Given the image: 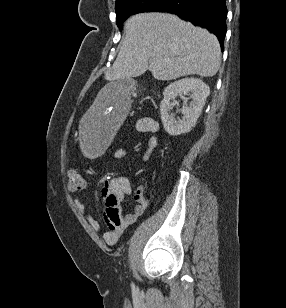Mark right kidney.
<instances>
[{
    "instance_id": "obj_1",
    "label": "right kidney",
    "mask_w": 286,
    "mask_h": 308,
    "mask_svg": "<svg viewBox=\"0 0 286 308\" xmlns=\"http://www.w3.org/2000/svg\"><path fill=\"white\" fill-rule=\"evenodd\" d=\"M191 93L189 106L183 104L182 119L176 120L170 110L173 108L172 100L177 95H187ZM210 89L202 80L197 78H185L175 81L164 89V99L160 104V114L163 127L169 135L178 136L188 133L197 122Z\"/></svg>"
}]
</instances>
